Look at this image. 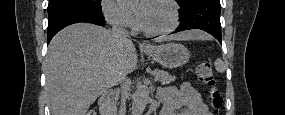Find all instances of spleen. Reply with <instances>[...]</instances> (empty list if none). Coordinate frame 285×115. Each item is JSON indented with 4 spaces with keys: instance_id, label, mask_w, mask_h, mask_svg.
<instances>
[{
    "instance_id": "1",
    "label": "spleen",
    "mask_w": 285,
    "mask_h": 115,
    "mask_svg": "<svg viewBox=\"0 0 285 115\" xmlns=\"http://www.w3.org/2000/svg\"><path fill=\"white\" fill-rule=\"evenodd\" d=\"M214 65L218 72L223 73L225 71V65L220 58L216 59Z\"/></svg>"
}]
</instances>
